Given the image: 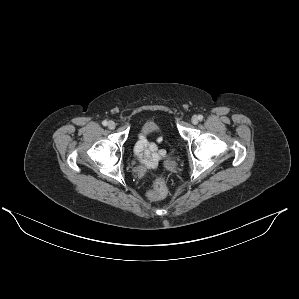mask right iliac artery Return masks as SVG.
<instances>
[{
	"instance_id": "1",
	"label": "right iliac artery",
	"mask_w": 299,
	"mask_h": 299,
	"mask_svg": "<svg viewBox=\"0 0 299 299\" xmlns=\"http://www.w3.org/2000/svg\"><path fill=\"white\" fill-rule=\"evenodd\" d=\"M102 124H103V126H107L108 122H107L106 120H104V121L102 122Z\"/></svg>"
}]
</instances>
